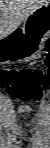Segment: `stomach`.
Instances as JSON below:
<instances>
[{
	"mask_svg": "<svg viewBox=\"0 0 50 148\" xmlns=\"http://www.w3.org/2000/svg\"><path fill=\"white\" fill-rule=\"evenodd\" d=\"M24 32L21 42L7 44L1 52L2 64L28 62L41 52L50 35V5L37 9L26 19Z\"/></svg>",
	"mask_w": 50,
	"mask_h": 148,
	"instance_id": "1",
	"label": "stomach"
}]
</instances>
